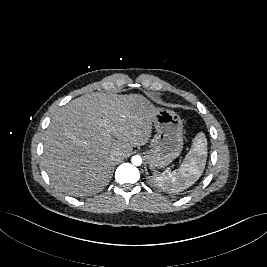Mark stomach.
<instances>
[{"mask_svg": "<svg viewBox=\"0 0 267 267\" xmlns=\"http://www.w3.org/2000/svg\"><path fill=\"white\" fill-rule=\"evenodd\" d=\"M145 102L155 108L152 122L157 132L153 148L146 152V158L150 169H161L176 159L183 149V123L174 111L155 107L147 99Z\"/></svg>", "mask_w": 267, "mask_h": 267, "instance_id": "stomach-1", "label": "stomach"}]
</instances>
